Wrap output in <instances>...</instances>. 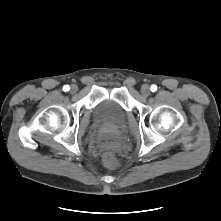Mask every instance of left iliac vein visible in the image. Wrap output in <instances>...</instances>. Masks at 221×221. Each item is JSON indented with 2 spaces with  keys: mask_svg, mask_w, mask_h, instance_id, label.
Returning <instances> with one entry per match:
<instances>
[{
  "mask_svg": "<svg viewBox=\"0 0 221 221\" xmlns=\"http://www.w3.org/2000/svg\"><path fill=\"white\" fill-rule=\"evenodd\" d=\"M141 93L144 97H148L151 93L149 85H147V84L142 85Z\"/></svg>",
  "mask_w": 221,
  "mask_h": 221,
  "instance_id": "4c4485c4",
  "label": "left iliac vein"
}]
</instances>
